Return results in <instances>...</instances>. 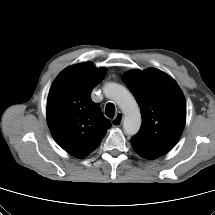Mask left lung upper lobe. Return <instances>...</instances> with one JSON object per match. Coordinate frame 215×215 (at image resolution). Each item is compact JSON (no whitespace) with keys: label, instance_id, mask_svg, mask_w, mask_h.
I'll return each mask as SVG.
<instances>
[{"label":"left lung upper lobe","instance_id":"obj_1","mask_svg":"<svg viewBox=\"0 0 215 215\" xmlns=\"http://www.w3.org/2000/svg\"><path fill=\"white\" fill-rule=\"evenodd\" d=\"M123 82L135 96L142 126L131 139L135 151L155 159L180 139L186 121V102L177 83L166 73L150 68L125 73Z\"/></svg>","mask_w":215,"mask_h":215}]
</instances>
